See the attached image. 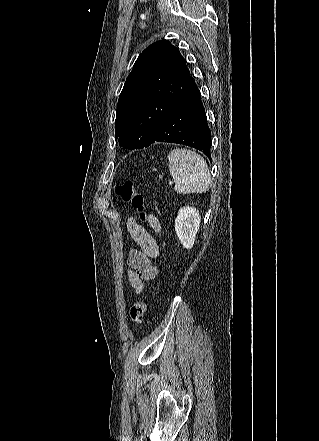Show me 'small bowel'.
I'll return each mask as SVG.
<instances>
[{"instance_id":"obj_1","label":"small bowel","mask_w":319,"mask_h":441,"mask_svg":"<svg viewBox=\"0 0 319 441\" xmlns=\"http://www.w3.org/2000/svg\"><path fill=\"white\" fill-rule=\"evenodd\" d=\"M146 221L156 234H161L160 222L154 215H149ZM127 228L140 248L131 249L129 252L127 274L130 285L138 294L144 289L143 280L153 279L158 273L157 268L151 263V259L159 256V247L156 239L134 217L128 218Z\"/></svg>"}]
</instances>
